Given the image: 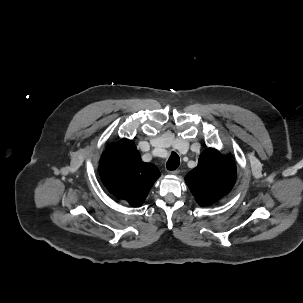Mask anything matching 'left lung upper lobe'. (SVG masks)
<instances>
[{
  "label": "left lung upper lobe",
  "mask_w": 303,
  "mask_h": 303,
  "mask_svg": "<svg viewBox=\"0 0 303 303\" xmlns=\"http://www.w3.org/2000/svg\"><path fill=\"white\" fill-rule=\"evenodd\" d=\"M235 180L233 157L224 156L213 148L200 155L197 167L185 177L189 189L201 206H208L229 193Z\"/></svg>",
  "instance_id": "obj_1"
}]
</instances>
